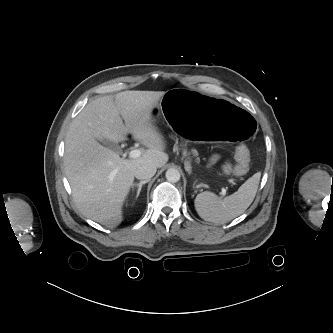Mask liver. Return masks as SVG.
<instances>
[{"label":"liver","mask_w":333,"mask_h":333,"mask_svg":"<svg viewBox=\"0 0 333 333\" xmlns=\"http://www.w3.org/2000/svg\"><path fill=\"white\" fill-rule=\"evenodd\" d=\"M164 94L131 90L115 97H99L70 124L65 138L64 171L73 200L86 217L110 228L118 226L136 168L143 164L161 168L168 162L163 137L152 124V111ZM128 134L148 148L141 157L122 159L99 143L122 142Z\"/></svg>","instance_id":"liver-1"}]
</instances>
